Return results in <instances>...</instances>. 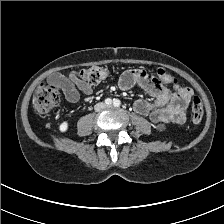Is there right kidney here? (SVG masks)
Here are the masks:
<instances>
[{
	"label": "right kidney",
	"instance_id": "right-kidney-1",
	"mask_svg": "<svg viewBox=\"0 0 224 224\" xmlns=\"http://www.w3.org/2000/svg\"><path fill=\"white\" fill-rule=\"evenodd\" d=\"M68 122L64 121L59 125L60 132H66L68 130Z\"/></svg>",
	"mask_w": 224,
	"mask_h": 224
}]
</instances>
